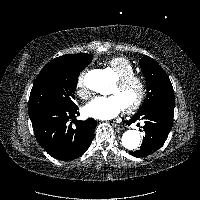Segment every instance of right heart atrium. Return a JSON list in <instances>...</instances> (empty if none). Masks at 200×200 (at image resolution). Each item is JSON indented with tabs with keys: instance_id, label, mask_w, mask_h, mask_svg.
I'll list each match as a JSON object with an SVG mask.
<instances>
[{
	"instance_id": "obj_1",
	"label": "right heart atrium",
	"mask_w": 200,
	"mask_h": 200,
	"mask_svg": "<svg viewBox=\"0 0 200 200\" xmlns=\"http://www.w3.org/2000/svg\"><path fill=\"white\" fill-rule=\"evenodd\" d=\"M76 93L82 99L90 97V91L85 83V73L82 72L78 75L75 83Z\"/></svg>"
}]
</instances>
